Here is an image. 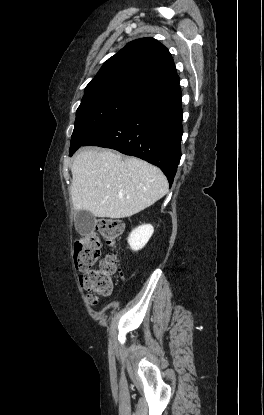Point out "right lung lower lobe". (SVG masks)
Masks as SVG:
<instances>
[{"label":"right lung lower lobe","mask_w":264,"mask_h":415,"mask_svg":"<svg viewBox=\"0 0 264 415\" xmlns=\"http://www.w3.org/2000/svg\"><path fill=\"white\" fill-rule=\"evenodd\" d=\"M181 98L179 85L144 98L83 145L139 157L158 166L172 183L181 158Z\"/></svg>","instance_id":"obj_1"}]
</instances>
